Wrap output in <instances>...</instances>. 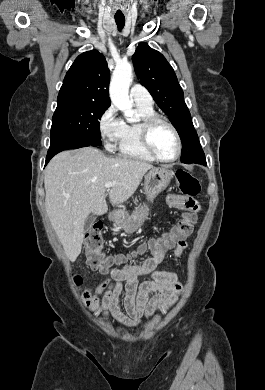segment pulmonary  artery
Masks as SVG:
<instances>
[{"label": "pulmonary artery", "instance_id": "obj_1", "mask_svg": "<svg viewBox=\"0 0 265 390\" xmlns=\"http://www.w3.org/2000/svg\"><path fill=\"white\" fill-rule=\"evenodd\" d=\"M130 97L137 105L151 106L152 98L149 92L142 86L135 84L130 89Z\"/></svg>", "mask_w": 265, "mask_h": 390}]
</instances>
